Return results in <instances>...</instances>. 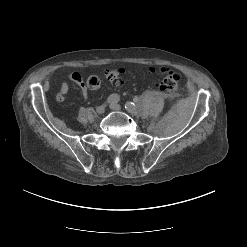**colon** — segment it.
Segmentation results:
<instances>
[{
  "label": "colon",
  "instance_id": "1",
  "mask_svg": "<svg viewBox=\"0 0 247 247\" xmlns=\"http://www.w3.org/2000/svg\"><path fill=\"white\" fill-rule=\"evenodd\" d=\"M149 72H159L162 79L158 84V88L164 94L171 96L174 95L178 89L180 75L169 68H150ZM106 78L115 84L119 80V76L115 70L108 71ZM86 85L91 90H97L100 87V78L97 75H91L87 78Z\"/></svg>",
  "mask_w": 247,
  "mask_h": 247
}]
</instances>
